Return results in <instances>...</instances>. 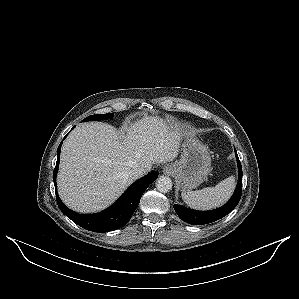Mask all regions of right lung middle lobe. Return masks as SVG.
I'll use <instances>...</instances> for the list:
<instances>
[{"instance_id":"right-lung-middle-lobe-1","label":"right lung middle lobe","mask_w":299,"mask_h":299,"mask_svg":"<svg viewBox=\"0 0 299 299\" xmlns=\"http://www.w3.org/2000/svg\"><path fill=\"white\" fill-rule=\"evenodd\" d=\"M113 113H107V114H98V115H91L86 117L83 121H93V120H107L113 118Z\"/></svg>"}]
</instances>
